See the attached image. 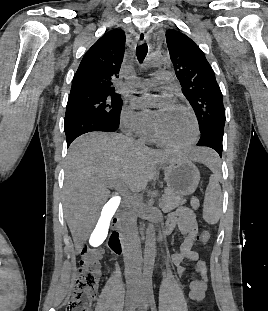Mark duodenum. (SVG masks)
I'll return each mask as SVG.
<instances>
[{
  "label": "duodenum",
  "instance_id": "duodenum-1",
  "mask_svg": "<svg viewBox=\"0 0 268 311\" xmlns=\"http://www.w3.org/2000/svg\"><path fill=\"white\" fill-rule=\"evenodd\" d=\"M118 218L114 217L111 222V231L108 238V246L110 250L115 254H121L125 251L127 246V241L123 237L119 227H118ZM164 237V232L159 231L156 234L157 239H161Z\"/></svg>",
  "mask_w": 268,
  "mask_h": 311
}]
</instances>
